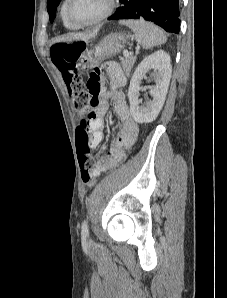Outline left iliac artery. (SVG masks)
<instances>
[{
	"label": "left iliac artery",
	"instance_id": "obj_1",
	"mask_svg": "<svg viewBox=\"0 0 227 298\" xmlns=\"http://www.w3.org/2000/svg\"><path fill=\"white\" fill-rule=\"evenodd\" d=\"M81 234H82L83 237H88V235H89L88 223H87L86 220H84L82 222Z\"/></svg>",
	"mask_w": 227,
	"mask_h": 298
}]
</instances>
